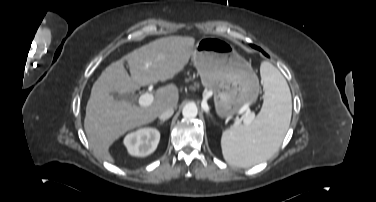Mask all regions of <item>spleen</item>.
<instances>
[{
  "mask_svg": "<svg viewBox=\"0 0 376 202\" xmlns=\"http://www.w3.org/2000/svg\"><path fill=\"white\" fill-rule=\"evenodd\" d=\"M264 103L250 125L232 126L223 132L221 147L231 165L250 167L270 158L280 147L289 128L292 99L289 86L270 62L260 66Z\"/></svg>",
  "mask_w": 376,
  "mask_h": 202,
  "instance_id": "3e777b00",
  "label": "spleen"
}]
</instances>
